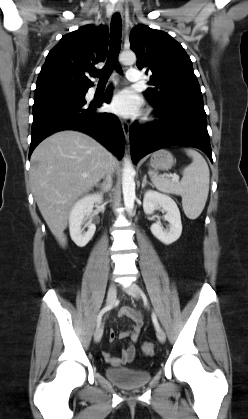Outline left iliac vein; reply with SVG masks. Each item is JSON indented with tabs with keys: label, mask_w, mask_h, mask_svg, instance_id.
<instances>
[{
	"label": "left iliac vein",
	"mask_w": 248,
	"mask_h": 419,
	"mask_svg": "<svg viewBox=\"0 0 248 419\" xmlns=\"http://www.w3.org/2000/svg\"><path fill=\"white\" fill-rule=\"evenodd\" d=\"M124 290L126 293H128L129 295H131L132 297L136 299L144 298V295L140 287L136 284H130L127 287H125ZM157 338L162 343H164L166 340L165 332L163 331L162 328H160V326H159V329L157 330Z\"/></svg>",
	"instance_id": "4c4485c4"
}]
</instances>
